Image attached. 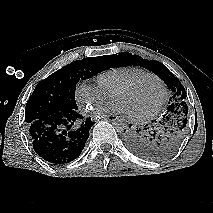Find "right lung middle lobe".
Returning a JSON list of instances; mask_svg holds the SVG:
<instances>
[{"label": "right lung middle lobe", "instance_id": "right-lung-middle-lobe-1", "mask_svg": "<svg viewBox=\"0 0 213 213\" xmlns=\"http://www.w3.org/2000/svg\"><path fill=\"white\" fill-rule=\"evenodd\" d=\"M109 63L110 58L103 56L77 60L40 81L26 104L27 125L60 111L78 109L75 102L78 81L108 69Z\"/></svg>", "mask_w": 213, "mask_h": 213}]
</instances>
